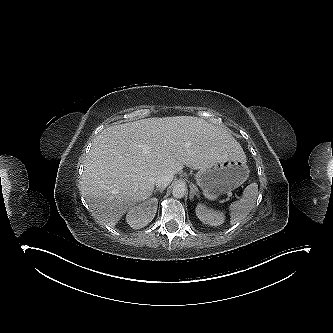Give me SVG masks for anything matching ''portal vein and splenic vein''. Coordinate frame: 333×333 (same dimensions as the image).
Masks as SVG:
<instances>
[{
  "label": "portal vein and splenic vein",
  "instance_id": "portal-vein-and-splenic-vein-1",
  "mask_svg": "<svg viewBox=\"0 0 333 333\" xmlns=\"http://www.w3.org/2000/svg\"><path fill=\"white\" fill-rule=\"evenodd\" d=\"M204 195L207 197V198H209V199H214L215 197H213V196H210L208 193H204ZM227 195L230 197V196H232V193L231 192H227Z\"/></svg>",
  "mask_w": 333,
  "mask_h": 333
}]
</instances>
